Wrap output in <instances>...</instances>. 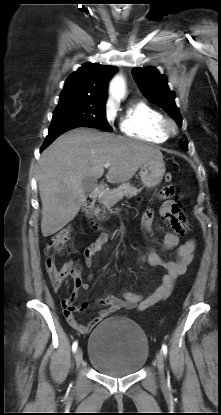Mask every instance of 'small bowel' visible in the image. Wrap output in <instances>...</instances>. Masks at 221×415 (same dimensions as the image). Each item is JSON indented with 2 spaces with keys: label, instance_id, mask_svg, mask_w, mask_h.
Listing matches in <instances>:
<instances>
[{
  "label": "small bowel",
  "instance_id": "1",
  "mask_svg": "<svg viewBox=\"0 0 221 415\" xmlns=\"http://www.w3.org/2000/svg\"><path fill=\"white\" fill-rule=\"evenodd\" d=\"M177 193V189L173 186L164 187L159 193L160 198L166 200L161 207V215L167 220V223L171 225L174 231L168 232L161 244L152 241V246L140 258L141 260L146 259L153 267L165 269L166 272L162 277L160 285L146 296L132 292H124L121 297L107 294L103 299L98 301L100 304L107 306V308L100 310L87 324H81L75 319L74 312L85 310L87 303L84 302L78 307L74 306L73 303L77 290H87L88 285L80 281L75 285L70 297L62 301L63 312L70 326L81 333H86L97 326L104 318L121 309H137L143 311L166 300L170 296L177 278L186 272L196 249V242L193 239H189L178 246L179 237L177 234L187 232L188 224L185 221V212L180 209L179 203L169 199L176 197ZM153 219L154 212L152 209H147L142 215V227L148 235H151ZM108 240L109 237L107 235H101L86 249L85 263L87 266L91 265L92 257L102 250ZM175 248L174 259L166 260L160 256L161 252L170 251ZM112 276L114 277L115 275L113 274Z\"/></svg>",
  "mask_w": 221,
  "mask_h": 415
}]
</instances>
